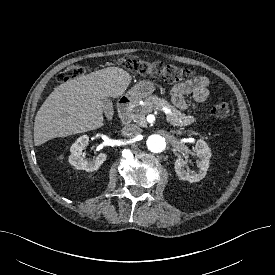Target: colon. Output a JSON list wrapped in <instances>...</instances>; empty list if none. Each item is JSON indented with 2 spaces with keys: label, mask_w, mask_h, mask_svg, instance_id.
<instances>
[{
  "label": "colon",
  "mask_w": 275,
  "mask_h": 275,
  "mask_svg": "<svg viewBox=\"0 0 275 275\" xmlns=\"http://www.w3.org/2000/svg\"><path fill=\"white\" fill-rule=\"evenodd\" d=\"M119 62L125 69L132 73L162 78L169 83L186 81L195 74V72L189 68L164 64L162 62H148L135 55H124L119 59ZM84 72L81 66L71 65L59 74L58 79L66 82L82 76ZM211 113L218 119H228L231 116V107L225 102L218 103L212 107Z\"/></svg>",
  "instance_id": "5ec220e1"
}]
</instances>
